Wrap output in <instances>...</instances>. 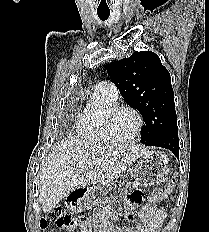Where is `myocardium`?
Segmentation results:
<instances>
[{"mask_svg":"<svg viewBox=\"0 0 209 232\" xmlns=\"http://www.w3.org/2000/svg\"><path fill=\"white\" fill-rule=\"evenodd\" d=\"M121 111H129L133 113L137 120V126L134 132L129 137H126V138H117L113 135L111 131L112 119L115 117L116 114H118ZM142 126H143L142 115L136 108L129 106V105H113L110 108H108L104 114V118H103L104 134L106 138L111 142L126 143V142L132 141L137 136V134L140 132Z\"/></svg>","mask_w":209,"mask_h":232,"instance_id":"myocardium-1","label":"myocardium"}]
</instances>
